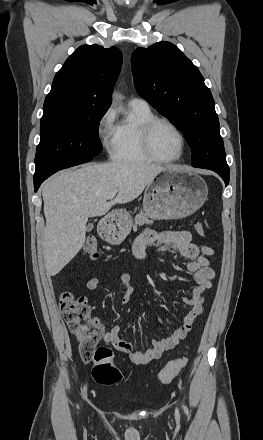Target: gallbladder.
Wrapping results in <instances>:
<instances>
[{"label": "gallbladder", "mask_w": 263, "mask_h": 440, "mask_svg": "<svg viewBox=\"0 0 263 440\" xmlns=\"http://www.w3.org/2000/svg\"><path fill=\"white\" fill-rule=\"evenodd\" d=\"M92 229H93V224L92 223L88 224L87 231L90 232Z\"/></svg>", "instance_id": "gallbladder-1"}]
</instances>
